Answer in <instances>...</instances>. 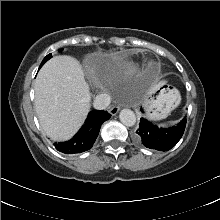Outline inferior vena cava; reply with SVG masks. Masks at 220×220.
Returning <instances> with one entry per match:
<instances>
[{
    "label": "inferior vena cava",
    "mask_w": 220,
    "mask_h": 220,
    "mask_svg": "<svg viewBox=\"0 0 220 220\" xmlns=\"http://www.w3.org/2000/svg\"><path fill=\"white\" fill-rule=\"evenodd\" d=\"M111 98L108 94H99L93 100V106L95 109H105L109 106Z\"/></svg>",
    "instance_id": "602c4592"
}]
</instances>
